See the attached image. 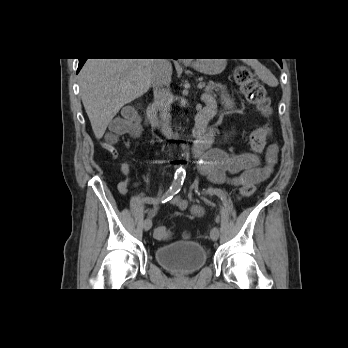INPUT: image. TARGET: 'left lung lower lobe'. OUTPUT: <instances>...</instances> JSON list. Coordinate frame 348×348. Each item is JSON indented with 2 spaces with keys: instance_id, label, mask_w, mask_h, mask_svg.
Returning a JSON list of instances; mask_svg holds the SVG:
<instances>
[{
  "instance_id": "0a47b994",
  "label": "left lung lower lobe",
  "mask_w": 348,
  "mask_h": 348,
  "mask_svg": "<svg viewBox=\"0 0 348 348\" xmlns=\"http://www.w3.org/2000/svg\"><path fill=\"white\" fill-rule=\"evenodd\" d=\"M279 64H280V66L282 67V61H281V59L280 60H276Z\"/></svg>"
}]
</instances>
